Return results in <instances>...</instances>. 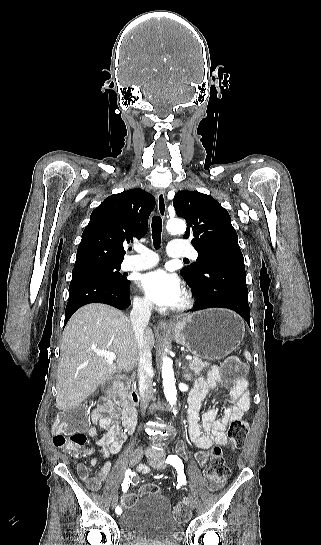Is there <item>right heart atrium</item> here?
Listing matches in <instances>:
<instances>
[{"mask_svg": "<svg viewBox=\"0 0 321 545\" xmlns=\"http://www.w3.org/2000/svg\"><path fill=\"white\" fill-rule=\"evenodd\" d=\"M133 307L140 313L149 314L152 310V306L148 300L141 296H135L133 298Z\"/></svg>", "mask_w": 321, "mask_h": 545, "instance_id": "d8ad5b80", "label": "right heart atrium"}]
</instances>
